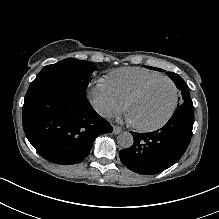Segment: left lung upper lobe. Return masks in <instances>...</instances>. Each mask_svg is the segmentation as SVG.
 I'll list each match as a JSON object with an SVG mask.
<instances>
[{
    "label": "left lung upper lobe",
    "instance_id": "1",
    "mask_svg": "<svg viewBox=\"0 0 219 219\" xmlns=\"http://www.w3.org/2000/svg\"><path fill=\"white\" fill-rule=\"evenodd\" d=\"M149 69L156 70V71H163L162 69L155 68V67H150L146 66ZM172 81L175 83L177 88L181 91V102L180 105L178 106L177 110L174 112H194V107L192 100L190 98V93L187 89V85L185 81L176 73L173 72H167L166 73Z\"/></svg>",
    "mask_w": 219,
    "mask_h": 219
}]
</instances>
